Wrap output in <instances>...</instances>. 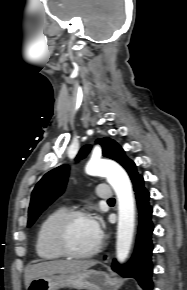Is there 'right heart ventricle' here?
Returning a JSON list of instances; mask_svg holds the SVG:
<instances>
[{"label": "right heart ventricle", "mask_w": 187, "mask_h": 290, "mask_svg": "<svg viewBox=\"0 0 187 290\" xmlns=\"http://www.w3.org/2000/svg\"><path fill=\"white\" fill-rule=\"evenodd\" d=\"M67 211L63 206L50 211L39 225L35 239V250L42 260L52 261L62 257L53 245L51 232L56 220Z\"/></svg>", "instance_id": "right-heart-ventricle-1"}]
</instances>
